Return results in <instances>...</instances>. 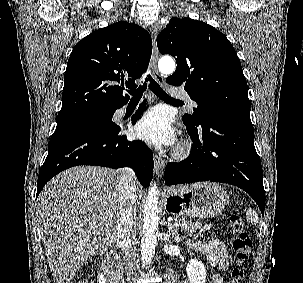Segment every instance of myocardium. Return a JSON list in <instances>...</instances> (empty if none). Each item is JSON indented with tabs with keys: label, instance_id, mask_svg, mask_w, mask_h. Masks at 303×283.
<instances>
[{
	"label": "myocardium",
	"instance_id": "myocardium-1",
	"mask_svg": "<svg viewBox=\"0 0 303 283\" xmlns=\"http://www.w3.org/2000/svg\"><path fill=\"white\" fill-rule=\"evenodd\" d=\"M187 152H188V148L186 146H181L177 152H176V156L178 158H183L187 155Z\"/></svg>",
	"mask_w": 303,
	"mask_h": 283
}]
</instances>
